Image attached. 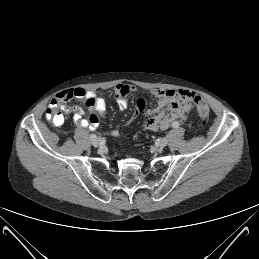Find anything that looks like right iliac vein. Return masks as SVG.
Segmentation results:
<instances>
[{
    "mask_svg": "<svg viewBox=\"0 0 259 259\" xmlns=\"http://www.w3.org/2000/svg\"><path fill=\"white\" fill-rule=\"evenodd\" d=\"M92 145L94 147H99L100 146V139L96 138V139L92 140Z\"/></svg>",
    "mask_w": 259,
    "mask_h": 259,
    "instance_id": "right-iliac-vein-1",
    "label": "right iliac vein"
}]
</instances>
